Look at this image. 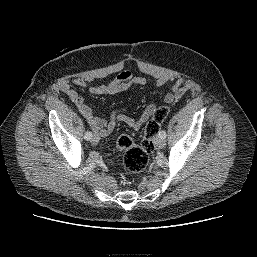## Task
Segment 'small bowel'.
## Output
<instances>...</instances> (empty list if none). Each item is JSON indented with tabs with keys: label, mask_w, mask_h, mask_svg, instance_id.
Returning a JSON list of instances; mask_svg holds the SVG:
<instances>
[{
	"label": "small bowel",
	"mask_w": 257,
	"mask_h": 257,
	"mask_svg": "<svg viewBox=\"0 0 257 257\" xmlns=\"http://www.w3.org/2000/svg\"><path fill=\"white\" fill-rule=\"evenodd\" d=\"M168 81L169 78L167 76H159L155 80V85L161 87ZM145 84L146 79L144 77L133 75L129 71H122L108 83L100 85H90L83 78H73L64 82L61 85V90L74 102L79 113L86 120L93 133L97 137L103 138L110 134L119 123L126 124L130 128L138 130L153 115L156 106L154 104L147 105L137 119L117 111L112 112L108 118H103L94 115L91 108L85 103L84 97L74 89V86L87 88L94 95H106L119 93L132 86H143ZM192 86V81L184 77H179L176 79L172 91L165 95L164 101L168 104L177 102Z\"/></svg>",
	"instance_id": "small-bowel-1"
}]
</instances>
